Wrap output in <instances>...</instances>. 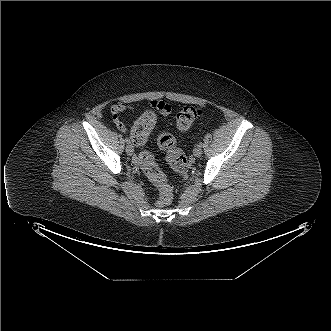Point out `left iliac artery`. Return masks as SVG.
Segmentation results:
<instances>
[{
    "label": "left iliac artery",
    "instance_id": "left-iliac-artery-1",
    "mask_svg": "<svg viewBox=\"0 0 331 331\" xmlns=\"http://www.w3.org/2000/svg\"><path fill=\"white\" fill-rule=\"evenodd\" d=\"M198 146L202 147V146H203V143H202V142H200V143L198 144Z\"/></svg>",
    "mask_w": 331,
    "mask_h": 331
}]
</instances>
